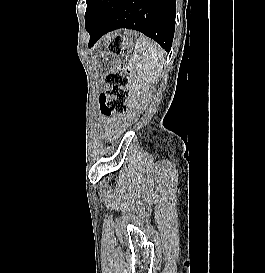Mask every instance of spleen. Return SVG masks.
<instances>
[{
  "label": "spleen",
  "instance_id": "3e777b00",
  "mask_svg": "<svg viewBox=\"0 0 265 273\" xmlns=\"http://www.w3.org/2000/svg\"><path fill=\"white\" fill-rule=\"evenodd\" d=\"M140 78L147 83H156L164 64V52L154 41L140 37L131 59Z\"/></svg>",
  "mask_w": 265,
  "mask_h": 273
}]
</instances>
